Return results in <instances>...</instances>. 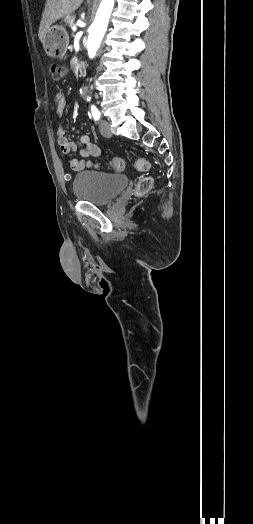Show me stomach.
I'll return each mask as SVG.
<instances>
[{
	"label": "stomach",
	"mask_w": 253,
	"mask_h": 524,
	"mask_svg": "<svg viewBox=\"0 0 253 524\" xmlns=\"http://www.w3.org/2000/svg\"><path fill=\"white\" fill-rule=\"evenodd\" d=\"M69 44V36L61 25L51 26L45 36L43 47L46 54L52 58H63Z\"/></svg>",
	"instance_id": "1"
}]
</instances>
